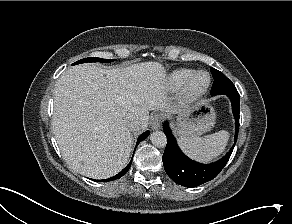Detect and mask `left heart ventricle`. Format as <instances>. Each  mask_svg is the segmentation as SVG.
<instances>
[{
    "label": "left heart ventricle",
    "mask_w": 292,
    "mask_h": 224,
    "mask_svg": "<svg viewBox=\"0 0 292 224\" xmlns=\"http://www.w3.org/2000/svg\"><path fill=\"white\" fill-rule=\"evenodd\" d=\"M208 77L206 74H201L195 81V86L198 88L203 87L207 83Z\"/></svg>",
    "instance_id": "b2bd125f"
}]
</instances>
